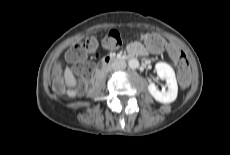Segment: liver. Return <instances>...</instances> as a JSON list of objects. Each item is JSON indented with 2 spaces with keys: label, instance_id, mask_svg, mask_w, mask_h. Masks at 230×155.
<instances>
[{
  "label": "liver",
  "instance_id": "6515ba94",
  "mask_svg": "<svg viewBox=\"0 0 230 155\" xmlns=\"http://www.w3.org/2000/svg\"><path fill=\"white\" fill-rule=\"evenodd\" d=\"M64 79H65V83L68 87H75L77 84V81L72 73V71L70 70L69 67L65 68L64 71ZM67 95L69 97H75L76 96V91L68 89L67 90Z\"/></svg>",
  "mask_w": 230,
  "mask_h": 155
}]
</instances>
